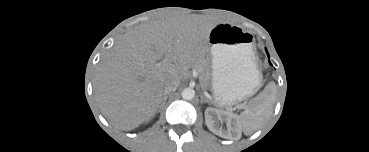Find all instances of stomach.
<instances>
[{
    "label": "stomach",
    "mask_w": 369,
    "mask_h": 152,
    "mask_svg": "<svg viewBox=\"0 0 369 152\" xmlns=\"http://www.w3.org/2000/svg\"><path fill=\"white\" fill-rule=\"evenodd\" d=\"M212 54V90L220 106L251 96L261 75L252 59V36L242 28L218 23L209 33Z\"/></svg>",
    "instance_id": "1"
}]
</instances>
